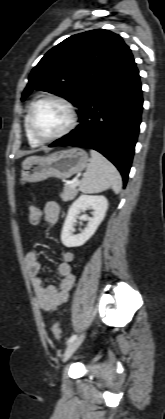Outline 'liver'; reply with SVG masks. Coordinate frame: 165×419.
<instances>
[{
	"instance_id": "1",
	"label": "liver",
	"mask_w": 165,
	"mask_h": 419,
	"mask_svg": "<svg viewBox=\"0 0 165 419\" xmlns=\"http://www.w3.org/2000/svg\"><path fill=\"white\" fill-rule=\"evenodd\" d=\"M35 156H30V157H27L24 161H23V163H22V166H24L30 159H32V158H34Z\"/></svg>"
}]
</instances>
